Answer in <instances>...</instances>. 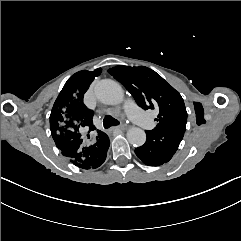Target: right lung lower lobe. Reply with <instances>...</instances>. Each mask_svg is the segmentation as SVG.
<instances>
[{
	"instance_id": "obj_1",
	"label": "right lung lower lobe",
	"mask_w": 241,
	"mask_h": 241,
	"mask_svg": "<svg viewBox=\"0 0 241 241\" xmlns=\"http://www.w3.org/2000/svg\"><path fill=\"white\" fill-rule=\"evenodd\" d=\"M110 141L106 135L103 139L96 141L92 146L84 148L78 153V158L70 161L82 169H94L103 164L107 156Z\"/></svg>"
}]
</instances>
